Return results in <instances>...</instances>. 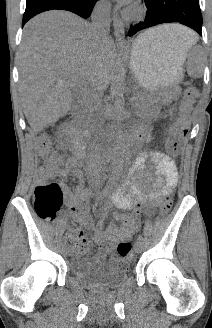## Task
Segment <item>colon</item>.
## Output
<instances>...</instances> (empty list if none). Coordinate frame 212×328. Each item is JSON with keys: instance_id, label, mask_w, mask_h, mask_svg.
<instances>
[{"instance_id": "obj_1", "label": "colon", "mask_w": 212, "mask_h": 328, "mask_svg": "<svg viewBox=\"0 0 212 328\" xmlns=\"http://www.w3.org/2000/svg\"><path fill=\"white\" fill-rule=\"evenodd\" d=\"M198 90L195 87H189L185 92L184 100L181 104V110L187 114L198 98ZM189 129L187 119H179L171 128L168 148L174 155L181 152V146ZM50 149V142L47 138H42L38 144V152L45 155ZM172 195L166 194L165 200L161 205L160 213L166 216L172 209ZM63 205V189L60 184L55 182L39 183L34 189V209L39 218L45 221H53ZM74 246L82 243L83 237L80 232L70 236ZM132 245L128 240L119 242L117 246L118 254L123 258H131Z\"/></svg>"}]
</instances>
